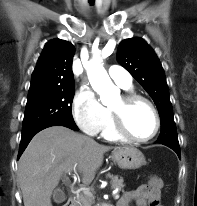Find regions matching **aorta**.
Listing matches in <instances>:
<instances>
[{
  "mask_svg": "<svg viewBox=\"0 0 197 206\" xmlns=\"http://www.w3.org/2000/svg\"><path fill=\"white\" fill-rule=\"evenodd\" d=\"M85 69L92 88L100 95L101 102L108 104L117 88L101 65L100 59L93 58L85 65Z\"/></svg>",
  "mask_w": 197,
  "mask_h": 206,
  "instance_id": "762f6f07",
  "label": "aorta"
}]
</instances>
